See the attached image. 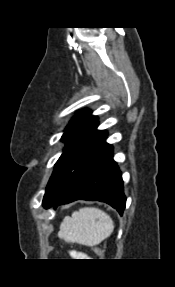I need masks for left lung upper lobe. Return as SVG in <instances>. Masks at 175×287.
<instances>
[{"instance_id":"left-lung-upper-lobe-1","label":"left lung upper lobe","mask_w":175,"mask_h":287,"mask_svg":"<svg viewBox=\"0 0 175 287\" xmlns=\"http://www.w3.org/2000/svg\"><path fill=\"white\" fill-rule=\"evenodd\" d=\"M97 126V118L89 110L78 112L66 126L62 135L66 145L47 184L43 206L61 195L109 146L107 133Z\"/></svg>"}]
</instances>
